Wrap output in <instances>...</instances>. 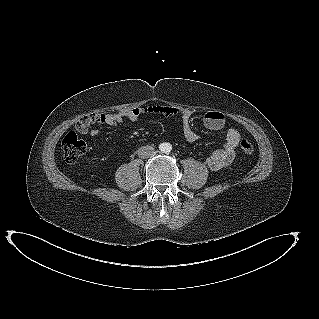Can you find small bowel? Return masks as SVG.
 Returning a JSON list of instances; mask_svg holds the SVG:
<instances>
[{
    "label": "small bowel",
    "instance_id": "1",
    "mask_svg": "<svg viewBox=\"0 0 319 319\" xmlns=\"http://www.w3.org/2000/svg\"><path fill=\"white\" fill-rule=\"evenodd\" d=\"M148 114L180 117L185 139L188 142H195L198 139V134L191 126L192 112L190 110L163 105L135 107L114 113L91 114L88 115L90 118L88 123L78 121L75 128L82 134H89L92 137H97L99 136V130L95 127L97 124L120 125L125 122H135L141 115ZM203 123L207 129L219 131L225 126V116L219 111H209L204 115ZM239 141L240 134L238 130L234 128L228 129L222 147L214 151L206 159L207 166L211 170L217 171L231 164Z\"/></svg>",
    "mask_w": 319,
    "mask_h": 319
}]
</instances>
